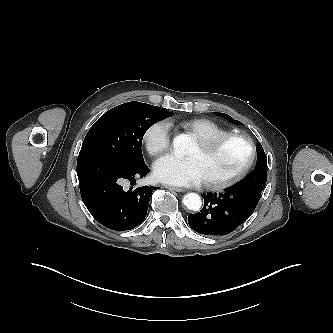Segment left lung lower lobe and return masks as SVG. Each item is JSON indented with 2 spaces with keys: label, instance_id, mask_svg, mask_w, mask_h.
Here are the masks:
<instances>
[{
  "label": "left lung lower lobe",
  "instance_id": "0a47b994",
  "mask_svg": "<svg viewBox=\"0 0 333 333\" xmlns=\"http://www.w3.org/2000/svg\"><path fill=\"white\" fill-rule=\"evenodd\" d=\"M204 207L188 216L190 227L206 236H221L235 230L253 213L261 195L232 187L224 192L202 194Z\"/></svg>",
  "mask_w": 333,
  "mask_h": 333
}]
</instances>
